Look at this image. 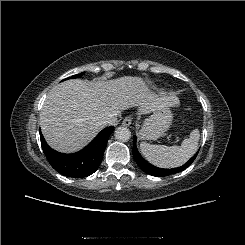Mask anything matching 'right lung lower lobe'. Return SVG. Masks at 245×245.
<instances>
[{"instance_id": "right-lung-lower-lobe-1", "label": "right lung lower lobe", "mask_w": 245, "mask_h": 245, "mask_svg": "<svg viewBox=\"0 0 245 245\" xmlns=\"http://www.w3.org/2000/svg\"><path fill=\"white\" fill-rule=\"evenodd\" d=\"M113 130L112 126L103 129L88 146L73 154H64L53 150L45 142L41 132L40 140L48 162L57 172L68 177L83 178L98 169Z\"/></svg>"}]
</instances>
